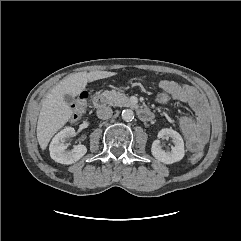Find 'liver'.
I'll return each instance as SVG.
<instances>
[{
    "label": "liver",
    "instance_id": "liver-1",
    "mask_svg": "<svg viewBox=\"0 0 241 241\" xmlns=\"http://www.w3.org/2000/svg\"><path fill=\"white\" fill-rule=\"evenodd\" d=\"M110 71L78 72L65 77L43 101L37 123V140L42 150L48 146L53 135L71 118L73 112L64 100L65 94L77 96L88 82L116 75Z\"/></svg>",
    "mask_w": 241,
    "mask_h": 241
}]
</instances>
